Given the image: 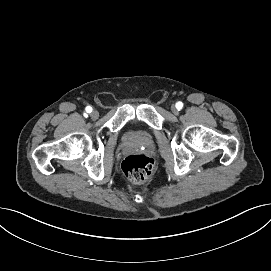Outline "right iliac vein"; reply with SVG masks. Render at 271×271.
<instances>
[{"label": "right iliac vein", "instance_id": "1", "mask_svg": "<svg viewBox=\"0 0 271 271\" xmlns=\"http://www.w3.org/2000/svg\"><path fill=\"white\" fill-rule=\"evenodd\" d=\"M90 116H91V118H92L93 120H96V119H98V117H99V113H98V111L93 110V111L91 112Z\"/></svg>", "mask_w": 271, "mask_h": 271}]
</instances>
